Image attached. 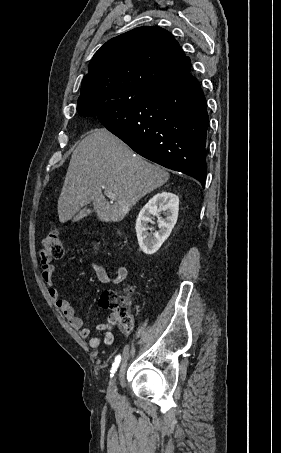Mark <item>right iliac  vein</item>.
Instances as JSON below:
<instances>
[{"label":"right iliac vein","mask_w":281,"mask_h":453,"mask_svg":"<svg viewBox=\"0 0 281 453\" xmlns=\"http://www.w3.org/2000/svg\"><path fill=\"white\" fill-rule=\"evenodd\" d=\"M112 378L115 380L117 377L114 375ZM110 384H111V386L108 388V391L110 393H113L115 391V388H114L115 387L114 386L115 383L112 381Z\"/></svg>","instance_id":"63e3f726"}]
</instances>
